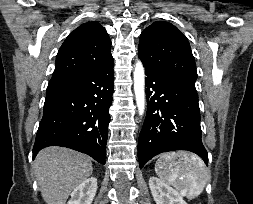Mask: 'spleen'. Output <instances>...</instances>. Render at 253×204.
<instances>
[{
  "instance_id": "3e777b00",
  "label": "spleen",
  "mask_w": 253,
  "mask_h": 204,
  "mask_svg": "<svg viewBox=\"0 0 253 204\" xmlns=\"http://www.w3.org/2000/svg\"><path fill=\"white\" fill-rule=\"evenodd\" d=\"M155 172L161 180L189 199L198 197L210 178V171L204 161L187 151L161 155L156 161Z\"/></svg>"
}]
</instances>
